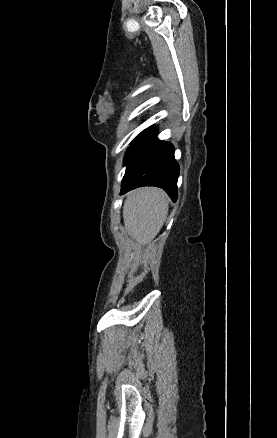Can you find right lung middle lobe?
<instances>
[{
  "mask_svg": "<svg viewBox=\"0 0 277 438\" xmlns=\"http://www.w3.org/2000/svg\"><path fill=\"white\" fill-rule=\"evenodd\" d=\"M157 134V130L154 127H149L141 132L132 142L130 148L128 149L124 164L127 165L126 173L134 164V162L139 158L142 152L146 149L149 143L154 139Z\"/></svg>",
  "mask_w": 277,
  "mask_h": 438,
  "instance_id": "obj_1",
  "label": "right lung middle lobe"
}]
</instances>
